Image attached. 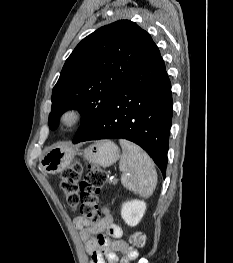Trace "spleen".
<instances>
[{
  "label": "spleen",
  "mask_w": 233,
  "mask_h": 263,
  "mask_svg": "<svg viewBox=\"0 0 233 263\" xmlns=\"http://www.w3.org/2000/svg\"><path fill=\"white\" fill-rule=\"evenodd\" d=\"M123 153L119 163L125 188L148 198L155 190L157 173L148 154L136 144L120 139Z\"/></svg>",
  "instance_id": "spleen-1"
}]
</instances>
